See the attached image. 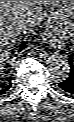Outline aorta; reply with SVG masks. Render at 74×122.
<instances>
[{"mask_svg":"<svg viewBox=\"0 0 74 122\" xmlns=\"http://www.w3.org/2000/svg\"><path fill=\"white\" fill-rule=\"evenodd\" d=\"M46 66L50 73L54 75H66L70 66L65 55L52 53L46 57Z\"/></svg>","mask_w":74,"mask_h":122,"instance_id":"1","label":"aorta"}]
</instances>
